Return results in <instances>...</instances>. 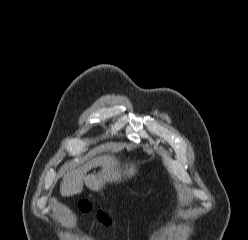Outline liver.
<instances>
[{"instance_id":"obj_1","label":"liver","mask_w":248,"mask_h":240,"mask_svg":"<svg viewBox=\"0 0 248 240\" xmlns=\"http://www.w3.org/2000/svg\"><path fill=\"white\" fill-rule=\"evenodd\" d=\"M101 166V170L96 174L87 172L93 166ZM136 173L134 164L125 165V169L120 168L118 159L114 156L104 155L97 157L90 163L68 171L61 182L60 193L64 197L73 196L83 191L84 183L92 191H101L106 183L120 182L122 174L131 177Z\"/></svg>"}]
</instances>
